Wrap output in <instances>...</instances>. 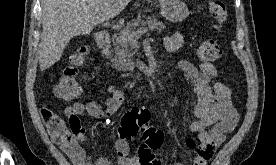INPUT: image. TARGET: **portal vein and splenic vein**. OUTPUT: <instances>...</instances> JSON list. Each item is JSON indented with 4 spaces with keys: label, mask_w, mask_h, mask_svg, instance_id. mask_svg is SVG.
Instances as JSON below:
<instances>
[{
    "label": "portal vein and splenic vein",
    "mask_w": 276,
    "mask_h": 165,
    "mask_svg": "<svg viewBox=\"0 0 276 165\" xmlns=\"http://www.w3.org/2000/svg\"><path fill=\"white\" fill-rule=\"evenodd\" d=\"M97 14L100 15V12H98ZM147 31H148V28L142 27L138 29L136 32L126 33V34L130 40H134V39H137L139 36L145 34Z\"/></svg>",
    "instance_id": "obj_1"
}]
</instances>
